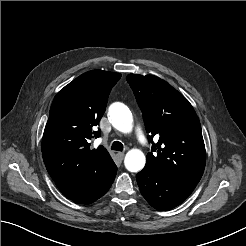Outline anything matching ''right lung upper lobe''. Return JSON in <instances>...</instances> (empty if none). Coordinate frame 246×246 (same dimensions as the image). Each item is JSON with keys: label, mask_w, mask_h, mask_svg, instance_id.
I'll return each mask as SVG.
<instances>
[{"label": "right lung upper lobe", "mask_w": 246, "mask_h": 246, "mask_svg": "<svg viewBox=\"0 0 246 246\" xmlns=\"http://www.w3.org/2000/svg\"><path fill=\"white\" fill-rule=\"evenodd\" d=\"M120 77L119 73L92 70L55 96L42 139L43 160L55 183L116 166L103 146L92 150L89 141L100 136L94 127Z\"/></svg>", "instance_id": "1"}]
</instances>
